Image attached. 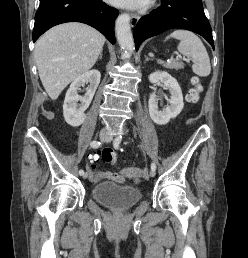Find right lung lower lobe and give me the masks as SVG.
I'll return each mask as SVG.
<instances>
[{
  "label": "right lung lower lobe",
  "mask_w": 248,
  "mask_h": 258,
  "mask_svg": "<svg viewBox=\"0 0 248 258\" xmlns=\"http://www.w3.org/2000/svg\"><path fill=\"white\" fill-rule=\"evenodd\" d=\"M118 14L117 9L102 0H40L35 15L33 41L52 26L77 21L96 28L114 44V21Z\"/></svg>",
  "instance_id": "right-lung-lower-lobe-1"
}]
</instances>
